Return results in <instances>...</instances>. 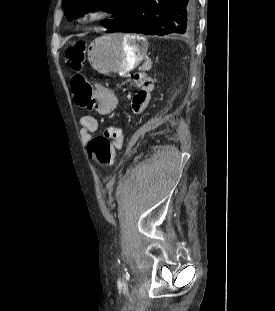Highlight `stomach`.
<instances>
[{"label": "stomach", "instance_id": "0dacf381", "mask_svg": "<svg viewBox=\"0 0 275 311\" xmlns=\"http://www.w3.org/2000/svg\"><path fill=\"white\" fill-rule=\"evenodd\" d=\"M147 49L148 43L140 35L114 33L89 45L88 60L101 74L125 76L142 62Z\"/></svg>", "mask_w": 275, "mask_h": 311}]
</instances>
